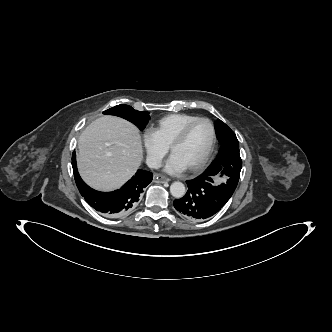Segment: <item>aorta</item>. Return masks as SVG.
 Returning a JSON list of instances; mask_svg holds the SVG:
<instances>
[{"label": "aorta", "mask_w": 332, "mask_h": 332, "mask_svg": "<svg viewBox=\"0 0 332 332\" xmlns=\"http://www.w3.org/2000/svg\"><path fill=\"white\" fill-rule=\"evenodd\" d=\"M170 193L177 199L182 198L186 193L185 185L181 182H173L170 186Z\"/></svg>", "instance_id": "aorta-1"}]
</instances>
